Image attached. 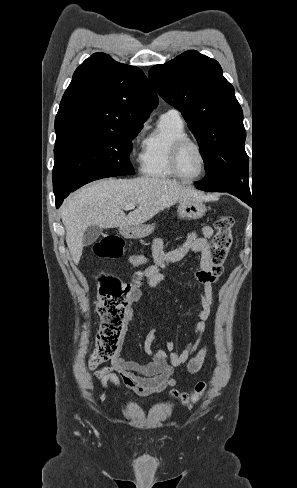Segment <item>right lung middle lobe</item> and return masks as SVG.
I'll use <instances>...</instances> for the list:
<instances>
[{"label":"right lung middle lobe","mask_w":297,"mask_h":488,"mask_svg":"<svg viewBox=\"0 0 297 488\" xmlns=\"http://www.w3.org/2000/svg\"><path fill=\"white\" fill-rule=\"evenodd\" d=\"M142 125L90 130L57 136L53 168L55 198L67 196L91 181L135 173L129 160L132 140Z\"/></svg>","instance_id":"obj_1"}]
</instances>
